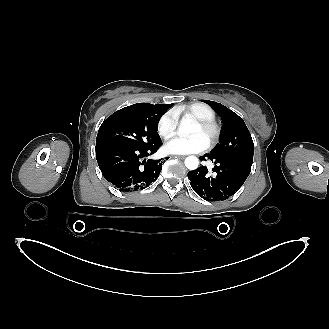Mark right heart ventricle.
I'll return each mask as SVG.
<instances>
[{
    "mask_svg": "<svg viewBox=\"0 0 329 329\" xmlns=\"http://www.w3.org/2000/svg\"><path fill=\"white\" fill-rule=\"evenodd\" d=\"M177 117H182L185 119H207L214 120L215 112L208 105L201 102H194L187 105L178 107L175 110Z\"/></svg>",
    "mask_w": 329,
    "mask_h": 329,
    "instance_id": "e07e8e85",
    "label": "right heart ventricle"
}]
</instances>
